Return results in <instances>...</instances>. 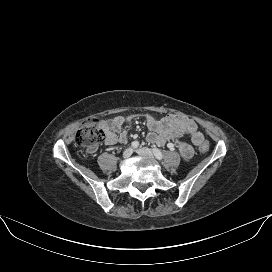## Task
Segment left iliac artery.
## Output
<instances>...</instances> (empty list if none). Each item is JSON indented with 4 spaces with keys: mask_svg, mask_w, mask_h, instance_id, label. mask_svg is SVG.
I'll list each match as a JSON object with an SVG mask.
<instances>
[{
    "mask_svg": "<svg viewBox=\"0 0 272 272\" xmlns=\"http://www.w3.org/2000/svg\"><path fill=\"white\" fill-rule=\"evenodd\" d=\"M153 153L155 155V157L158 159V160H162L163 159V155L161 153V151L157 148H154L153 149Z\"/></svg>",
    "mask_w": 272,
    "mask_h": 272,
    "instance_id": "1",
    "label": "left iliac artery"
}]
</instances>
